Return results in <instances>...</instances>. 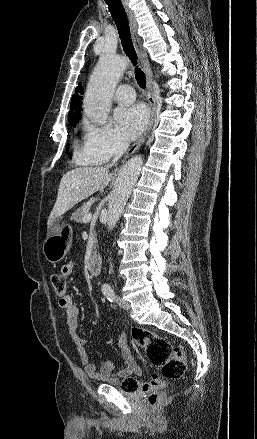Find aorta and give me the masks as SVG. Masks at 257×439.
Here are the masks:
<instances>
[{"label": "aorta", "mask_w": 257, "mask_h": 439, "mask_svg": "<svg viewBox=\"0 0 257 439\" xmlns=\"http://www.w3.org/2000/svg\"><path fill=\"white\" fill-rule=\"evenodd\" d=\"M127 67L125 58L103 53L90 78L85 94L84 112L97 124L106 123L114 89ZM143 159L135 156L120 169L108 203L107 228L112 230L119 221L134 184L136 183Z\"/></svg>", "instance_id": "obj_1"}]
</instances>
